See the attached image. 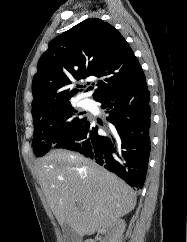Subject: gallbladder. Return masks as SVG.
Wrapping results in <instances>:
<instances>
[{
  "instance_id": "bac80fb5",
  "label": "gallbladder",
  "mask_w": 187,
  "mask_h": 242,
  "mask_svg": "<svg viewBox=\"0 0 187 242\" xmlns=\"http://www.w3.org/2000/svg\"><path fill=\"white\" fill-rule=\"evenodd\" d=\"M64 242H81V237L66 223L62 226Z\"/></svg>"
}]
</instances>
